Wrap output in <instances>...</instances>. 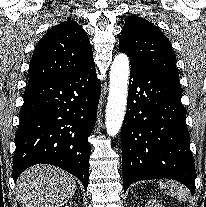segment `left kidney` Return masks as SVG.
I'll return each instance as SVG.
<instances>
[{
    "label": "left kidney",
    "mask_w": 206,
    "mask_h": 207,
    "mask_svg": "<svg viewBox=\"0 0 206 207\" xmlns=\"http://www.w3.org/2000/svg\"><path fill=\"white\" fill-rule=\"evenodd\" d=\"M145 207H164L157 200L150 199L146 202Z\"/></svg>",
    "instance_id": "obj_1"
}]
</instances>
